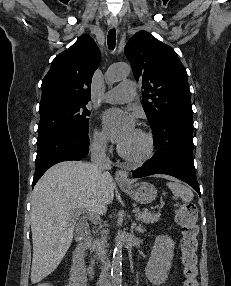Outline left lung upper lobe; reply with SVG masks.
Wrapping results in <instances>:
<instances>
[{"label": "left lung upper lobe", "mask_w": 231, "mask_h": 286, "mask_svg": "<svg viewBox=\"0 0 231 286\" xmlns=\"http://www.w3.org/2000/svg\"><path fill=\"white\" fill-rule=\"evenodd\" d=\"M125 55L135 79L142 81V106L152 129L169 115L192 117L187 72L170 46L140 31L127 43Z\"/></svg>", "instance_id": "obj_1"}]
</instances>
